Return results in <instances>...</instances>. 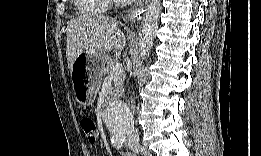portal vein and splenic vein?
Segmentation results:
<instances>
[{"instance_id":"1","label":"portal vein and splenic vein","mask_w":261,"mask_h":156,"mask_svg":"<svg viewBox=\"0 0 261 156\" xmlns=\"http://www.w3.org/2000/svg\"><path fill=\"white\" fill-rule=\"evenodd\" d=\"M122 72H123V65L121 63H116L111 69L110 76L120 74Z\"/></svg>"}]
</instances>
